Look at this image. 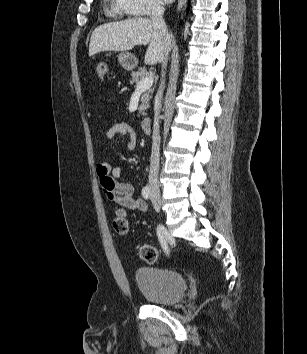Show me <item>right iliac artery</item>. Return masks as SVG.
Instances as JSON below:
<instances>
[{"instance_id":"82829eb1","label":"right iliac artery","mask_w":307,"mask_h":354,"mask_svg":"<svg viewBox=\"0 0 307 354\" xmlns=\"http://www.w3.org/2000/svg\"><path fill=\"white\" fill-rule=\"evenodd\" d=\"M142 196L145 199H149V197H150V188H149V186H145L142 189ZM157 235H158V238H159V241H160V244H161L162 248L164 249V251L166 253H168L169 249H168V245H167V242L165 240V237H164V229L161 226H159L157 228Z\"/></svg>"}]
</instances>
